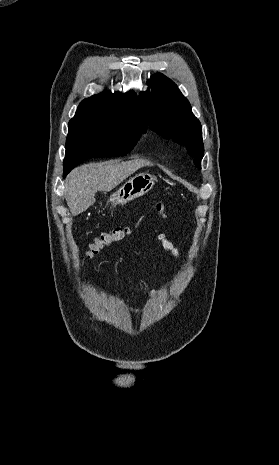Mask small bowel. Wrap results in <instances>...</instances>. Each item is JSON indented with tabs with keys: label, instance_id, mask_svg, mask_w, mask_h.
Masks as SVG:
<instances>
[{
	"label": "small bowel",
	"instance_id": "c3829d8e",
	"mask_svg": "<svg viewBox=\"0 0 279 465\" xmlns=\"http://www.w3.org/2000/svg\"><path fill=\"white\" fill-rule=\"evenodd\" d=\"M159 241L163 245L165 249H167L175 258L179 257V250L178 248L167 239L165 234H160L158 237ZM158 292L156 290H150L147 292L149 296H155Z\"/></svg>",
	"mask_w": 279,
	"mask_h": 465
}]
</instances>
